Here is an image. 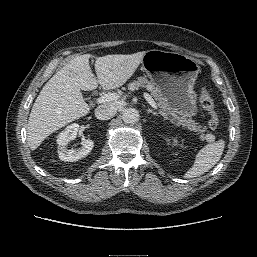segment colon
<instances>
[{
  "instance_id": "colon-1",
  "label": "colon",
  "mask_w": 257,
  "mask_h": 257,
  "mask_svg": "<svg viewBox=\"0 0 257 257\" xmlns=\"http://www.w3.org/2000/svg\"><path fill=\"white\" fill-rule=\"evenodd\" d=\"M199 101L201 106L209 113L208 125L211 129L217 128L219 124V118L215 111L214 100L210 92L203 88L199 94Z\"/></svg>"
}]
</instances>
